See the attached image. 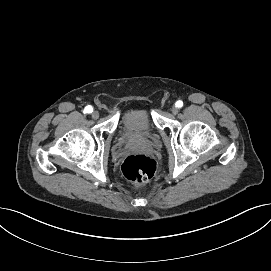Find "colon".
<instances>
[{
  "label": "colon",
  "instance_id": "5ec220e1",
  "mask_svg": "<svg viewBox=\"0 0 271 271\" xmlns=\"http://www.w3.org/2000/svg\"><path fill=\"white\" fill-rule=\"evenodd\" d=\"M123 175L133 184L150 180L156 172V162L146 155H130L122 163Z\"/></svg>",
  "mask_w": 271,
  "mask_h": 271
}]
</instances>
